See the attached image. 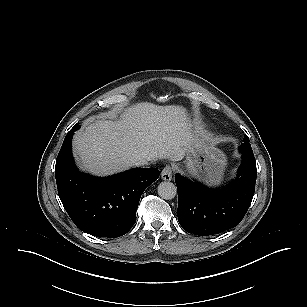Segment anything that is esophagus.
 Listing matches in <instances>:
<instances>
[{
    "label": "esophagus",
    "mask_w": 307,
    "mask_h": 307,
    "mask_svg": "<svg viewBox=\"0 0 307 307\" xmlns=\"http://www.w3.org/2000/svg\"><path fill=\"white\" fill-rule=\"evenodd\" d=\"M161 178L165 181H170L172 179V168L170 166L164 167L161 172Z\"/></svg>",
    "instance_id": "34e87169"
}]
</instances>
